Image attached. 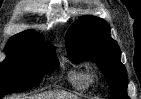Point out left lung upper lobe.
<instances>
[{
  "instance_id": "5c2ea615",
  "label": "left lung upper lobe",
  "mask_w": 141,
  "mask_h": 99,
  "mask_svg": "<svg viewBox=\"0 0 141 99\" xmlns=\"http://www.w3.org/2000/svg\"><path fill=\"white\" fill-rule=\"evenodd\" d=\"M66 47L74 62L85 58L97 64L109 82L112 99H129L121 51L111 38L110 27L105 20L90 15L79 18L67 33Z\"/></svg>"
}]
</instances>
